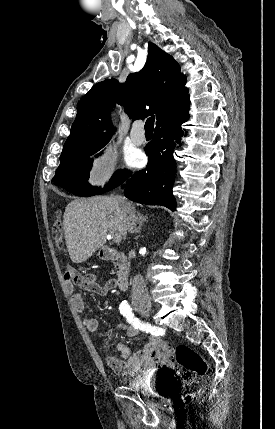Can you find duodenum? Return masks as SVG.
Returning <instances> with one entry per match:
<instances>
[{"instance_id":"410a0bca","label":"duodenum","mask_w":275,"mask_h":429,"mask_svg":"<svg viewBox=\"0 0 275 429\" xmlns=\"http://www.w3.org/2000/svg\"><path fill=\"white\" fill-rule=\"evenodd\" d=\"M101 256L105 260H111L117 273L116 284L119 289L125 290L128 286L129 266L124 253L115 251L109 247L101 250Z\"/></svg>"}]
</instances>
